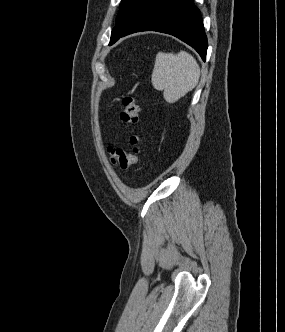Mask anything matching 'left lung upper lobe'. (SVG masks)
I'll use <instances>...</instances> for the list:
<instances>
[{
	"label": "left lung upper lobe",
	"instance_id": "5c2ea615",
	"mask_svg": "<svg viewBox=\"0 0 285 332\" xmlns=\"http://www.w3.org/2000/svg\"><path fill=\"white\" fill-rule=\"evenodd\" d=\"M151 1L152 0H122L116 19V26L111 33L110 42L124 31Z\"/></svg>",
	"mask_w": 285,
	"mask_h": 332
}]
</instances>
